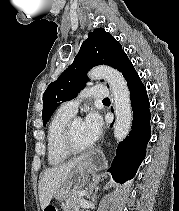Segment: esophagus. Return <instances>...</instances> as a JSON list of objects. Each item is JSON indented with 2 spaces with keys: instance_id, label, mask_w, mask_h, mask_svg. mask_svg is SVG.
<instances>
[{
  "instance_id": "34e87169",
  "label": "esophagus",
  "mask_w": 179,
  "mask_h": 211,
  "mask_svg": "<svg viewBox=\"0 0 179 211\" xmlns=\"http://www.w3.org/2000/svg\"><path fill=\"white\" fill-rule=\"evenodd\" d=\"M92 158V167L93 171H100V167H103L106 163V160L104 158V154H102V151H91Z\"/></svg>"
}]
</instances>
